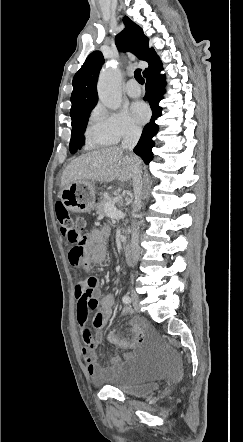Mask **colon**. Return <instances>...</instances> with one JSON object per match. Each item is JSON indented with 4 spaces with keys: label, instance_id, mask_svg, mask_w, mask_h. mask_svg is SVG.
Listing matches in <instances>:
<instances>
[{
    "label": "colon",
    "instance_id": "colon-1",
    "mask_svg": "<svg viewBox=\"0 0 243 442\" xmlns=\"http://www.w3.org/2000/svg\"><path fill=\"white\" fill-rule=\"evenodd\" d=\"M55 212L63 236L68 243L73 245L69 251L68 259L73 264H78L85 257V240L81 235L85 221L81 217L73 218L67 206L61 201L56 202Z\"/></svg>",
    "mask_w": 243,
    "mask_h": 442
}]
</instances>
